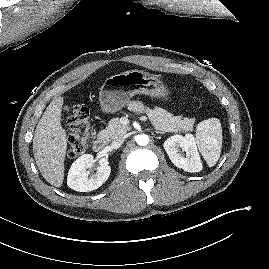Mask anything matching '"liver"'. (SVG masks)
<instances>
[{
  "label": "liver",
  "mask_w": 269,
  "mask_h": 269,
  "mask_svg": "<svg viewBox=\"0 0 269 269\" xmlns=\"http://www.w3.org/2000/svg\"><path fill=\"white\" fill-rule=\"evenodd\" d=\"M64 98L54 99L38 122L33 138V154L44 179L61 187L64 180V161L67 135L61 126Z\"/></svg>",
  "instance_id": "1"
}]
</instances>
